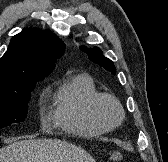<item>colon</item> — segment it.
I'll use <instances>...</instances> for the list:
<instances>
[{"instance_id":"5ec220e1","label":"colon","mask_w":168,"mask_h":162,"mask_svg":"<svg viewBox=\"0 0 168 162\" xmlns=\"http://www.w3.org/2000/svg\"><path fill=\"white\" fill-rule=\"evenodd\" d=\"M110 158L112 161L120 162L123 159V156L119 152H114L111 154Z\"/></svg>"}]
</instances>
